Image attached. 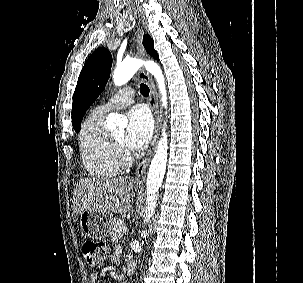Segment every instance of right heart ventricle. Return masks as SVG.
Here are the masks:
<instances>
[{
  "label": "right heart ventricle",
  "mask_w": 303,
  "mask_h": 283,
  "mask_svg": "<svg viewBox=\"0 0 303 283\" xmlns=\"http://www.w3.org/2000/svg\"><path fill=\"white\" fill-rule=\"evenodd\" d=\"M106 113L95 108L83 123L79 148L83 166L97 179L116 176L122 166L117 158L111 136L104 129Z\"/></svg>",
  "instance_id": "1"
}]
</instances>
